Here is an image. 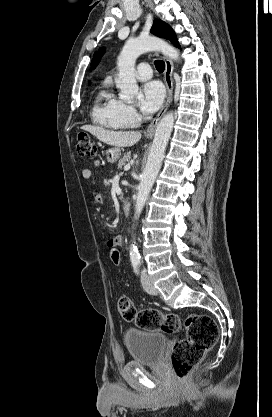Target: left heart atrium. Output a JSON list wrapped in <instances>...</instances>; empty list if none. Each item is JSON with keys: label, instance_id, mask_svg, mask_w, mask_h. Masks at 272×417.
Wrapping results in <instances>:
<instances>
[{"label": "left heart atrium", "instance_id": "39dd6f15", "mask_svg": "<svg viewBox=\"0 0 272 417\" xmlns=\"http://www.w3.org/2000/svg\"><path fill=\"white\" fill-rule=\"evenodd\" d=\"M165 97V90L158 81H151L143 85L140 95V107L146 114L159 109Z\"/></svg>", "mask_w": 272, "mask_h": 417}]
</instances>
